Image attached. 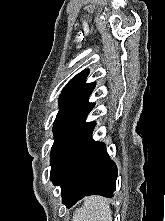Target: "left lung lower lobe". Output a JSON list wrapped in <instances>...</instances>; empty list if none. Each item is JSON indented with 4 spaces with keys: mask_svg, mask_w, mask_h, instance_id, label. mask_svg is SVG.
<instances>
[{
    "mask_svg": "<svg viewBox=\"0 0 165 221\" xmlns=\"http://www.w3.org/2000/svg\"><path fill=\"white\" fill-rule=\"evenodd\" d=\"M85 116L52 147L50 178L61 187L62 203L70 208L88 195L113 197L117 167L103 143L92 139L95 123Z\"/></svg>",
    "mask_w": 165,
    "mask_h": 221,
    "instance_id": "0a47b994",
    "label": "left lung lower lobe"
}]
</instances>
